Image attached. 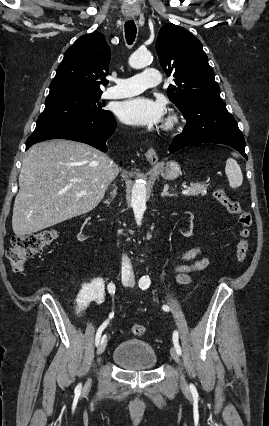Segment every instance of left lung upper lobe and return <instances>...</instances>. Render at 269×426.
<instances>
[{"mask_svg":"<svg viewBox=\"0 0 269 426\" xmlns=\"http://www.w3.org/2000/svg\"><path fill=\"white\" fill-rule=\"evenodd\" d=\"M156 51L166 75L175 77L167 95L180 111L200 100H222L202 44L188 30L172 23L164 25Z\"/></svg>","mask_w":269,"mask_h":426,"instance_id":"left-lung-upper-lobe-1","label":"left lung upper lobe"}]
</instances>
